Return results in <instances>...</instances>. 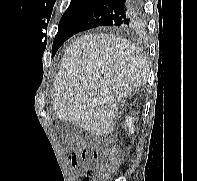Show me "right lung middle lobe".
I'll use <instances>...</instances> for the list:
<instances>
[{
  "instance_id": "right-lung-middle-lobe-1",
  "label": "right lung middle lobe",
  "mask_w": 197,
  "mask_h": 181,
  "mask_svg": "<svg viewBox=\"0 0 197 181\" xmlns=\"http://www.w3.org/2000/svg\"><path fill=\"white\" fill-rule=\"evenodd\" d=\"M87 8L86 7H80L73 10H67L60 22H59V29L56 34V37L53 42L52 46V56L55 55L56 51L59 49V47L65 42L68 33L70 32L71 28L75 24L76 20L80 17V15L85 12ZM117 28V27H114Z\"/></svg>"
}]
</instances>
